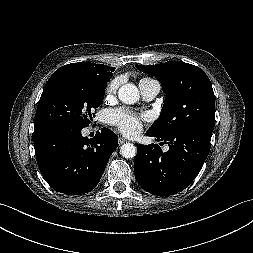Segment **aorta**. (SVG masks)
Wrapping results in <instances>:
<instances>
[{
  "instance_id": "762f6f07",
  "label": "aorta",
  "mask_w": 253,
  "mask_h": 253,
  "mask_svg": "<svg viewBox=\"0 0 253 253\" xmlns=\"http://www.w3.org/2000/svg\"><path fill=\"white\" fill-rule=\"evenodd\" d=\"M139 96L138 88L131 83L121 86L118 91L120 101L125 104L136 103L139 100ZM136 152V147L131 143L123 144L120 149V154L126 159L135 157Z\"/></svg>"
}]
</instances>
